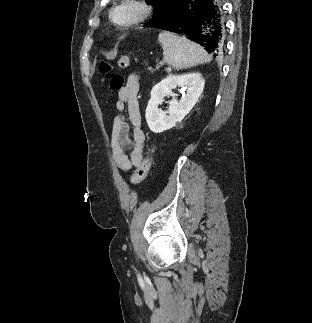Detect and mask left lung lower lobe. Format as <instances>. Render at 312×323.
<instances>
[{"instance_id":"1","label":"left lung lower lobe","mask_w":312,"mask_h":323,"mask_svg":"<svg viewBox=\"0 0 312 323\" xmlns=\"http://www.w3.org/2000/svg\"><path fill=\"white\" fill-rule=\"evenodd\" d=\"M222 0H176L166 19L156 26L185 35L214 57L224 53L225 23Z\"/></svg>"}]
</instances>
